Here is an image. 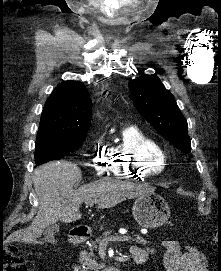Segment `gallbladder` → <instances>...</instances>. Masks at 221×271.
Returning <instances> with one entry per match:
<instances>
[{
  "label": "gallbladder",
  "mask_w": 221,
  "mask_h": 271,
  "mask_svg": "<svg viewBox=\"0 0 221 271\" xmlns=\"http://www.w3.org/2000/svg\"><path fill=\"white\" fill-rule=\"evenodd\" d=\"M57 231H59V225H57V223H53V225H48V227H46V229H44L43 231L44 241H52Z\"/></svg>",
  "instance_id": "1"
}]
</instances>
